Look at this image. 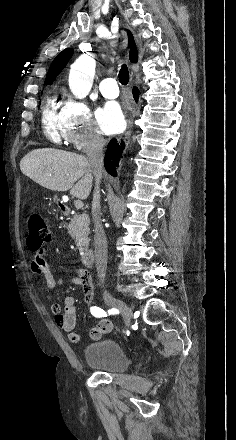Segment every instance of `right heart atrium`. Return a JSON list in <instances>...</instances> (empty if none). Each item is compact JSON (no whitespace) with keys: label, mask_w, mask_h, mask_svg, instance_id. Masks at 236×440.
Instances as JSON below:
<instances>
[{"label":"right heart atrium","mask_w":236,"mask_h":440,"mask_svg":"<svg viewBox=\"0 0 236 440\" xmlns=\"http://www.w3.org/2000/svg\"><path fill=\"white\" fill-rule=\"evenodd\" d=\"M61 114L64 140L78 151L98 150L104 144L91 109L85 103L72 97L64 101Z\"/></svg>","instance_id":"1"}]
</instances>
